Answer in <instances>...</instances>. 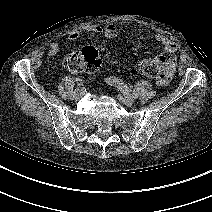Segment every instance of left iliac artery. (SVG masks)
<instances>
[{
    "instance_id": "obj_1",
    "label": "left iliac artery",
    "mask_w": 212,
    "mask_h": 212,
    "mask_svg": "<svg viewBox=\"0 0 212 212\" xmlns=\"http://www.w3.org/2000/svg\"><path fill=\"white\" fill-rule=\"evenodd\" d=\"M106 82L110 85L117 86L126 95L137 98V95L127 85H125L121 79H118L116 77H109L106 79Z\"/></svg>"
}]
</instances>
